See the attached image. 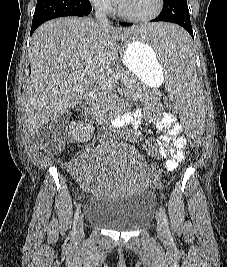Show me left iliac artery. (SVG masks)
<instances>
[{"label": "left iliac artery", "mask_w": 227, "mask_h": 267, "mask_svg": "<svg viewBox=\"0 0 227 267\" xmlns=\"http://www.w3.org/2000/svg\"><path fill=\"white\" fill-rule=\"evenodd\" d=\"M160 215L163 218L164 224H165V228H166V232H167V236L171 237V233H170V229H169V224H168V219L165 213V210L162 206H160Z\"/></svg>", "instance_id": "obj_1"}]
</instances>
